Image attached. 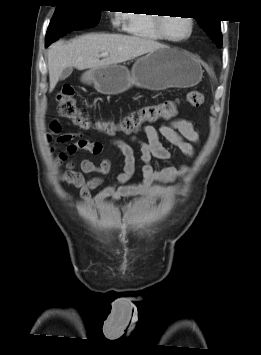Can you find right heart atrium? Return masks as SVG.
Listing matches in <instances>:
<instances>
[{
  "label": "right heart atrium",
  "mask_w": 261,
  "mask_h": 355,
  "mask_svg": "<svg viewBox=\"0 0 261 355\" xmlns=\"http://www.w3.org/2000/svg\"><path fill=\"white\" fill-rule=\"evenodd\" d=\"M112 23L116 28H126L127 18L124 13H117L112 18Z\"/></svg>",
  "instance_id": "d8ad5b80"
}]
</instances>
